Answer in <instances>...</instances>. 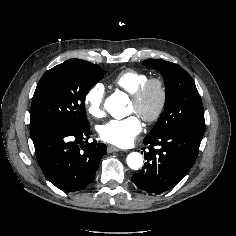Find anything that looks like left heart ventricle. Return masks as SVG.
<instances>
[{
  "label": "left heart ventricle",
  "mask_w": 236,
  "mask_h": 236,
  "mask_svg": "<svg viewBox=\"0 0 236 236\" xmlns=\"http://www.w3.org/2000/svg\"><path fill=\"white\" fill-rule=\"evenodd\" d=\"M157 103H158V93L156 90H152L143 105L144 111L152 112L156 108ZM131 111L132 112L137 111V107L133 102H131Z\"/></svg>",
  "instance_id": "left-heart-ventricle-1"
}]
</instances>
